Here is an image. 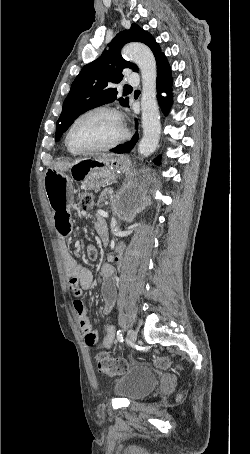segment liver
Returning <instances> with one entry per match:
<instances>
[{
  "label": "liver",
  "mask_w": 250,
  "mask_h": 454,
  "mask_svg": "<svg viewBox=\"0 0 250 454\" xmlns=\"http://www.w3.org/2000/svg\"><path fill=\"white\" fill-rule=\"evenodd\" d=\"M80 160H85V159H79V160H76L75 162L80 161ZM70 165H71V164H68V166H70Z\"/></svg>",
  "instance_id": "liver-1"
}]
</instances>
